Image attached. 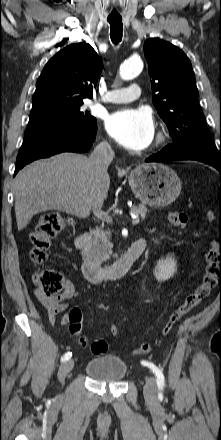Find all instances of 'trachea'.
I'll list each match as a JSON object with an SVG mask.
<instances>
[{
    "label": "trachea",
    "mask_w": 221,
    "mask_h": 440,
    "mask_svg": "<svg viewBox=\"0 0 221 440\" xmlns=\"http://www.w3.org/2000/svg\"><path fill=\"white\" fill-rule=\"evenodd\" d=\"M110 24V37L113 43L117 44L122 39L123 23L122 18H108Z\"/></svg>",
    "instance_id": "1"
}]
</instances>
